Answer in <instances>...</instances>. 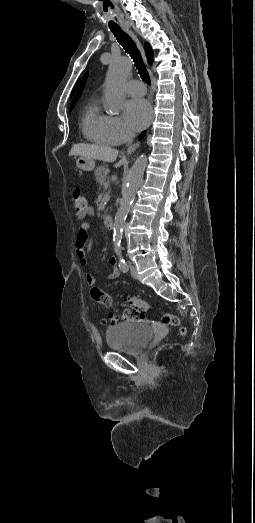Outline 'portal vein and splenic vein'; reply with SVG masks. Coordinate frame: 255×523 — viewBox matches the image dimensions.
<instances>
[{
    "mask_svg": "<svg viewBox=\"0 0 255 523\" xmlns=\"http://www.w3.org/2000/svg\"><path fill=\"white\" fill-rule=\"evenodd\" d=\"M102 186L104 187V191H107V188H108V186H109L108 180H105V181L102 183ZM102 195H105V192H102Z\"/></svg>",
    "mask_w": 255,
    "mask_h": 523,
    "instance_id": "18ae733b",
    "label": "portal vein and splenic vein"
}]
</instances>
